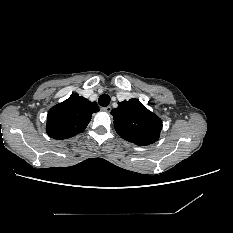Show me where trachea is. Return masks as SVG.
<instances>
[{"instance_id": "obj_1", "label": "trachea", "mask_w": 233, "mask_h": 233, "mask_svg": "<svg viewBox=\"0 0 233 233\" xmlns=\"http://www.w3.org/2000/svg\"><path fill=\"white\" fill-rule=\"evenodd\" d=\"M98 103L99 105L103 106V107H107L110 103V97L108 94H102L99 98H98Z\"/></svg>"}]
</instances>
